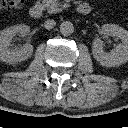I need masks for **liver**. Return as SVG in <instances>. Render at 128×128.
Segmentation results:
<instances>
[{
  "instance_id": "1",
  "label": "liver",
  "mask_w": 128,
  "mask_h": 128,
  "mask_svg": "<svg viewBox=\"0 0 128 128\" xmlns=\"http://www.w3.org/2000/svg\"><path fill=\"white\" fill-rule=\"evenodd\" d=\"M2 9V3L0 2V10Z\"/></svg>"
}]
</instances>
